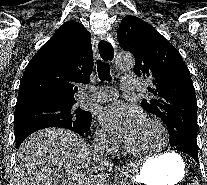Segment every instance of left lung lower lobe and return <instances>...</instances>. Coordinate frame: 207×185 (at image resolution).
<instances>
[{
  "mask_svg": "<svg viewBox=\"0 0 207 185\" xmlns=\"http://www.w3.org/2000/svg\"><path fill=\"white\" fill-rule=\"evenodd\" d=\"M174 150H179L178 147L173 148ZM188 155H190L197 163H199L198 161V152H184Z\"/></svg>",
  "mask_w": 207,
  "mask_h": 185,
  "instance_id": "0a47b994",
  "label": "left lung lower lobe"
}]
</instances>
